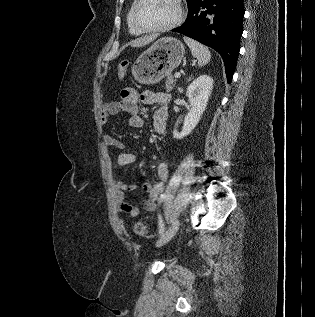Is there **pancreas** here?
Masks as SVG:
<instances>
[{
	"mask_svg": "<svg viewBox=\"0 0 315 317\" xmlns=\"http://www.w3.org/2000/svg\"><path fill=\"white\" fill-rule=\"evenodd\" d=\"M175 84V79L171 75H167V80L165 83V88L167 91H171L173 89V86Z\"/></svg>",
	"mask_w": 315,
	"mask_h": 317,
	"instance_id": "1",
	"label": "pancreas"
}]
</instances>
